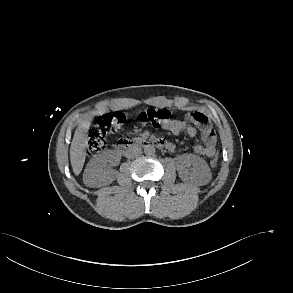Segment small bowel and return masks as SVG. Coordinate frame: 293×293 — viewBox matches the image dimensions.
<instances>
[{
  "mask_svg": "<svg viewBox=\"0 0 293 293\" xmlns=\"http://www.w3.org/2000/svg\"><path fill=\"white\" fill-rule=\"evenodd\" d=\"M197 113L203 117L201 123H197L188 118V120H169L163 128L173 135L177 136L182 131H185L189 137H195L197 135V128L193 126L190 122H194L199 125L200 135L203 141V144H196L193 148L194 152L198 155H203L206 157H213L216 152V135L213 131L208 117L202 112H193ZM169 152H174L176 147L173 143H167V148Z\"/></svg>",
  "mask_w": 293,
  "mask_h": 293,
  "instance_id": "1",
  "label": "small bowel"
}]
</instances>
